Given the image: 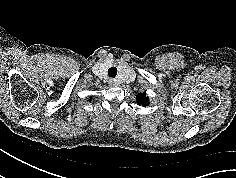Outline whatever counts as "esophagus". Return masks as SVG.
I'll use <instances>...</instances> for the list:
<instances>
[{
    "label": "esophagus",
    "mask_w": 236,
    "mask_h": 178,
    "mask_svg": "<svg viewBox=\"0 0 236 178\" xmlns=\"http://www.w3.org/2000/svg\"><path fill=\"white\" fill-rule=\"evenodd\" d=\"M109 84H110L111 86H115L117 83L115 82L114 79H109Z\"/></svg>",
    "instance_id": "obj_1"
}]
</instances>
